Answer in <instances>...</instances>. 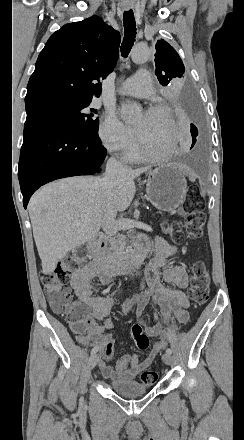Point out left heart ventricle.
Returning a JSON list of instances; mask_svg holds the SVG:
<instances>
[{"mask_svg": "<svg viewBox=\"0 0 244 440\" xmlns=\"http://www.w3.org/2000/svg\"><path fill=\"white\" fill-rule=\"evenodd\" d=\"M169 123L167 113L149 110L140 114L135 124L144 135L146 145H159L160 141L165 142L164 131Z\"/></svg>", "mask_w": 244, "mask_h": 440, "instance_id": "b2bd125f", "label": "left heart ventricle"}]
</instances>
